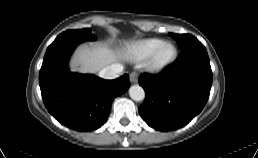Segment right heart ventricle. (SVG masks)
<instances>
[{
  "instance_id": "right-heart-ventricle-1",
  "label": "right heart ventricle",
  "mask_w": 258,
  "mask_h": 158,
  "mask_svg": "<svg viewBox=\"0 0 258 158\" xmlns=\"http://www.w3.org/2000/svg\"><path fill=\"white\" fill-rule=\"evenodd\" d=\"M162 43L163 40L157 38L145 39L134 43L131 46L132 59L137 62L147 60Z\"/></svg>"
}]
</instances>
